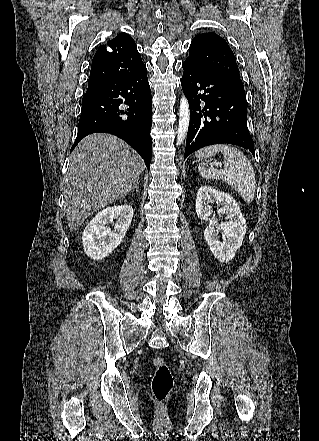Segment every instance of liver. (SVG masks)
<instances>
[{"label":"liver","instance_id":"1","mask_svg":"<svg viewBox=\"0 0 319 441\" xmlns=\"http://www.w3.org/2000/svg\"><path fill=\"white\" fill-rule=\"evenodd\" d=\"M145 165L123 140L104 133L86 136L70 156L64 203L70 230L134 189Z\"/></svg>","mask_w":319,"mask_h":441}]
</instances>
